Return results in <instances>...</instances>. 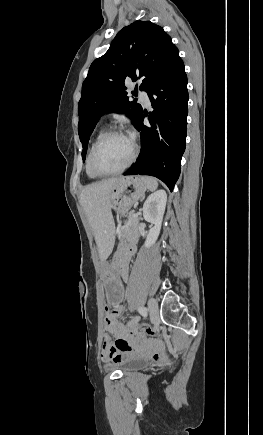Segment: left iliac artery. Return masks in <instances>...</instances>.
Listing matches in <instances>:
<instances>
[{
  "mask_svg": "<svg viewBox=\"0 0 263 435\" xmlns=\"http://www.w3.org/2000/svg\"><path fill=\"white\" fill-rule=\"evenodd\" d=\"M138 311L143 317H147V309L145 307H139Z\"/></svg>",
  "mask_w": 263,
  "mask_h": 435,
  "instance_id": "left-iliac-artery-1",
  "label": "left iliac artery"
}]
</instances>
